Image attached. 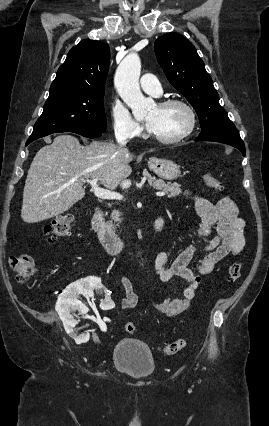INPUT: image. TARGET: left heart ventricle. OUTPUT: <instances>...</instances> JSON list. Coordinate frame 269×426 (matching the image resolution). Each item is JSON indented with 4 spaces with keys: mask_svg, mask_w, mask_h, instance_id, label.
<instances>
[{
    "mask_svg": "<svg viewBox=\"0 0 269 426\" xmlns=\"http://www.w3.org/2000/svg\"><path fill=\"white\" fill-rule=\"evenodd\" d=\"M145 120L149 124V130L162 138L178 136L189 125V115L179 105L167 107L156 105L147 113Z\"/></svg>",
    "mask_w": 269,
    "mask_h": 426,
    "instance_id": "1",
    "label": "left heart ventricle"
}]
</instances>
